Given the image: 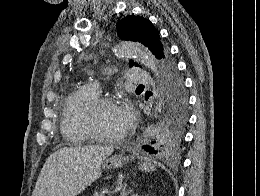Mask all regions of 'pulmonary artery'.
Returning <instances> with one entry per match:
<instances>
[{
  "mask_svg": "<svg viewBox=\"0 0 260 196\" xmlns=\"http://www.w3.org/2000/svg\"><path fill=\"white\" fill-rule=\"evenodd\" d=\"M123 76L129 77L128 84H153L151 73L143 72V69H128ZM96 89L99 91L98 88Z\"/></svg>",
  "mask_w": 260,
  "mask_h": 196,
  "instance_id": "e3ab8cb5",
  "label": "pulmonary artery"
}]
</instances>
